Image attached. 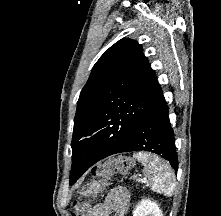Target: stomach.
<instances>
[{
	"label": "stomach",
	"instance_id": "stomach-1",
	"mask_svg": "<svg viewBox=\"0 0 221 216\" xmlns=\"http://www.w3.org/2000/svg\"><path fill=\"white\" fill-rule=\"evenodd\" d=\"M108 184L106 182H93L91 184H89L87 187H84L82 189V191L80 192L81 196H85V197H95L98 193H102L103 190L105 189V187Z\"/></svg>",
	"mask_w": 221,
	"mask_h": 216
}]
</instances>
